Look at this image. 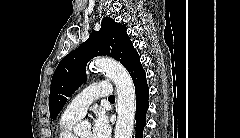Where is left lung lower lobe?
Wrapping results in <instances>:
<instances>
[{
  "label": "left lung lower lobe",
  "mask_w": 240,
  "mask_h": 138,
  "mask_svg": "<svg viewBox=\"0 0 240 138\" xmlns=\"http://www.w3.org/2000/svg\"><path fill=\"white\" fill-rule=\"evenodd\" d=\"M127 70L133 79L136 93L135 138H143V129L146 125V112L149 107V88L146 81V73L140 63V57L138 54L132 59Z\"/></svg>",
  "instance_id": "obj_1"
}]
</instances>
